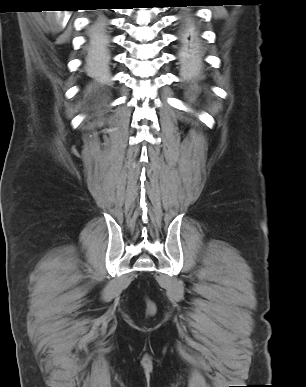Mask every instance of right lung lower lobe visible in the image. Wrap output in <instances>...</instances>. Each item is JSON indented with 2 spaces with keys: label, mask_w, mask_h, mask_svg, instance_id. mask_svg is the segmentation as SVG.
Wrapping results in <instances>:
<instances>
[{
  "label": "right lung lower lobe",
  "mask_w": 306,
  "mask_h": 387,
  "mask_svg": "<svg viewBox=\"0 0 306 387\" xmlns=\"http://www.w3.org/2000/svg\"><path fill=\"white\" fill-rule=\"evenodd\" d=\"M107 46L106 23L102 18H99L90 28L87 61L90 63L102 61L106 56Z\"/></svg>",
  "instance_id": "1"
}]
</instances>
